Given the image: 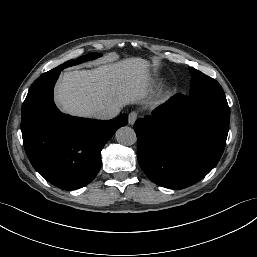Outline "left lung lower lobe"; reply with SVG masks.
Returning <instances> with one entry per match:
<instances>
[{
  "instance_id": "1",
  "label": "left lung lower lobe",
  "mask_w": 257,
  "mask_h": 257,
  "mask_svg": "<svg viewBox=\"0 0 257 257\" xmlns=\"http://www.w3.org/2000/svg\"><path fill=\"white\" fill-rule=\"evenodd\" d=\"M229 121L225 96L175 95L134 124L140 167L152 182L166 188L197 183L220 160Z\"/></svg>"
}]
</instances>
